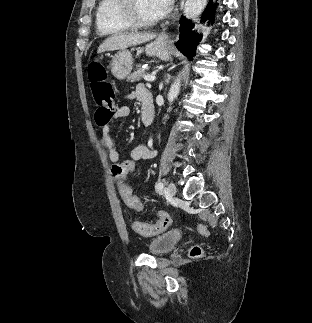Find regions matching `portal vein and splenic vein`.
I'll return each instance as SVG.
<instances>
[{"label":"portal vein and splenic vein","mask_w":312,"mask_h":323,"mask_svg":"<svg viewBox=\"0 0 312 323\" xmlns=\"http://www.w3.org/2000/svg\"><path fill=\"white\" fill-rule=\"evenodd\" d=\"M144 80H146V82H154L156 76H144Z\"/></svg>","instance_id":"portal-vein-and-splenic-vein-1"}]
</instances>
